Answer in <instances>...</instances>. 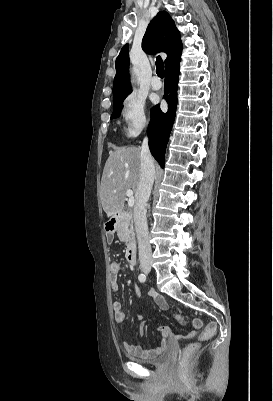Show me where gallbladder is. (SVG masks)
<instances>
[{"label": "gallbladder", "instance_id": "1", "mask_svg": "<svg viewBox=\"0 0 273 401\" xmlns=\"http://www.w3.org/2000/svg\"><path fill=\"white\" fill-rule=\"evenodd\" d=\"M106 237H107V245L108 246H113L114 245V237H113V232L112 231H107L106 232Z\"/></svg>", "mask_w": 273, "mask_h": 401}]
</instances>
